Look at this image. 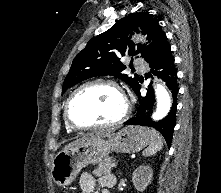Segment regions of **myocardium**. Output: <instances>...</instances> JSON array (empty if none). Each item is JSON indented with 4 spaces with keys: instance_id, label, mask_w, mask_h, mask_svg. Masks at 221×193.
I'll return each mask as SVG.
<instances>
[{
    "instance_id": "myocardium-1",
    "label": "myocardium",
    "mask_w": 221,
    "mask_h": 193,
    "mask_svg": "<svg viewBox=\"0 0 221 193\" xmlns=\"http://www.w3.org/2000/svg\"><path fill=\"white\" fill-rule=\"evenodd\" d=\"M92 85L110 86V87L114 88L122 96L123 101H124V111L119 118H117L116 120L111 121V122L97 123V124H92V125H87V126L80 125L73 120V118L71 117V114H70V107H71V104H72L74 98L81 90H83L86 87L92 86ZM130 111H131L130 103L127 99V96H126L124 90L121 88V86L113 80L97 78V79L88 80V81L82 83L70 94V96L68 97L66 104H65L64 115H65V119H66L67 124L71 128H73L75 130H79V131H88V130H95V129L114 128V127L120 126L121 124H123L126 121V119L128 118V116L130 114Z\"/></svg>"
}]
</instances>
